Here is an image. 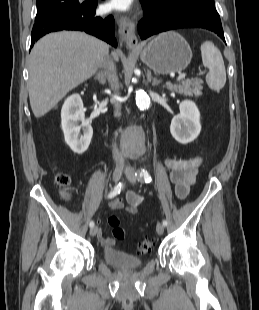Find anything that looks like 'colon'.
I'll list each match as a JSON object with an SVG mask.
<instances>
[{"label":"colon","instance_id":"5ec220e1","mask_svg":"<svg viewBox=\"0 0 259 310\" xmlns=\"http://www.w3.org/2000/svg\"><path fill=\"white\" fill-rule=\"evenodd\" d=\"M70 182V178L68 175L64 174V173H60L57 176V183L60 186H68ZM108 224L109 226L112 228V235L115 239L117 240H122L125 237V231L124 229L120 226L119 223V218L115 215H111L108 218ZM156 243V239L155 238H145L142 241H140L137 245V253L140 255H144L149 253L154 245Z\"/></svg>","mask_w":259,"mask_h":310}]
</instances>
